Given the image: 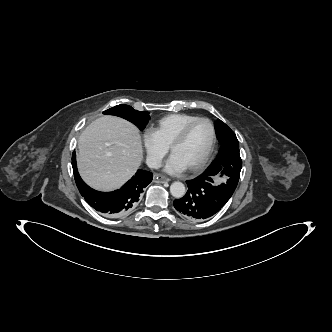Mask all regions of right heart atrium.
Instances as JSON below:
<instances>
[{"label":"right heart atrium","instance_id":"d8ad5b80","mask_svg":"<svg viewBox=\"0 0 332 332\" xmlns=\"http://www.w3.org/2000/svg\"><path fill=\"white\" fill-rule=\"evenodd\" d=\"M142 142L147 164L152 168H157L168 148L159 141L151 130H146L143 133Z\"/></svg>","mask_w":332,"mask_h":332}]
</instances>
